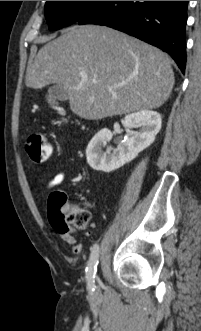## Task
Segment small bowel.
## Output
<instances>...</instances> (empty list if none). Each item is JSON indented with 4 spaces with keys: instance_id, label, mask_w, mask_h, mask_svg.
<instances>
[{
    "instance_id": "1",
    "label": "small bowel",
    "mask_w": 201,
    "mask_h": 331,
    "mask_svg": "<svg viewBox=\"0 0 201 331\" xmlns=\"http://www.w3.org/2000/svg\"><path fill=\"white\" fill-rule=\"evenodd\" d=\"M65 180L64 172H58L54 175L52 179H50L47 184V189H54L60 186ZM60 237L69 245L72 246V251L75 254H78L81 251V245L77 242L75 234L68 229L67 227H61L57 229Z\"/></svg>"
}]
</instances>
